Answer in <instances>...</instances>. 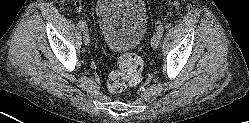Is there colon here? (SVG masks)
<instances>
[{
	"instance_id": "1",
	"label": "colon",
	"mask_w": 249,
	"mask_h": 123,
	"mask_svg": "<svg viewBox=\"0 0 249 123\" xmlns=\"http://www.w3.org/2000/svg\"><path fill=\"white\" fill-rule=\"evenodd\" d=\"M142 69V60L138 55L124 54L118 60V69L109 74L108 90L117 93L125 90L128 86L138 84L141 80Z\"/></svg>"
}]
</instances>
